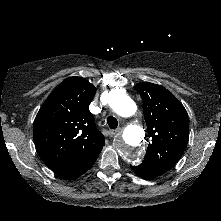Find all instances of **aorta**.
<instances>
[{
  "mask_svg": "<svg viewBox=\"0 0 221 221\" xmlns=\"http://www.w3.org/2000/svg\"><path fill=\"white\" fill-rule=\"evenodd\" d=\"M109 106L119 116L127 118L136 112L135 102L121 90H113L109 94ZM144 130L135 124L128 125L118 138V151L121 157L133 164H137L142 157Z\"/></svg>",
  "mask_w": 221,
  "mask_h": 221,
  "instance_id": "1",
  "label": "aorta"
}]
</instances>
